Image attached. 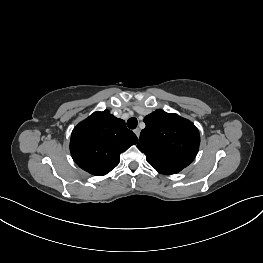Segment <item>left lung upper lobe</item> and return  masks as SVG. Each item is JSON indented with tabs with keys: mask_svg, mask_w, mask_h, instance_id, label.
Listing matches in <instances>:
<instances>
[{
	"mask_svg": "<svg viewBox=\"0 0 263 263\" xmlns=\"http://www.w3.org/2000/svg\"><path fill=\"white\" fill-rule=\"evenodd\" d=\"M138 149L161 174H176L195 158L200 144L196 126L177 114L156 110L144 118Z\"/></svg>",
	"mask_w": 263,
	"mask_h": 263,
	"instance_id": "1",
	"label": "left lung upper lobe"
}]
</instances>
